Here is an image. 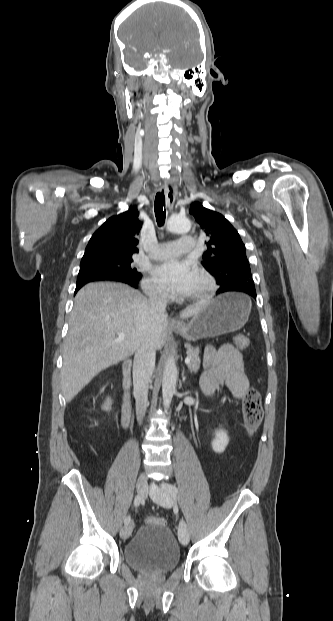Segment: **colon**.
Instances as JSON below:
<instances>
[{
    "label": "colon",
    "mask_w": 333,
    "mask_h": 621,
    "mask_svg": "<svg viewBox=\"0 0 333 621\" xmlns=\"http://www.w3.org/2000/svg\"><path fill=\"white\" fill-rule=\"evenodd\" d=\"M248 344L249 342L246 337L240 336L236 339V345L239 349L247 348ZM242 409L246 429L248 432L252 433L258 428L263 417L261 395L258 390L255 388L247 390L243 397ZM145 523L165 525L166 521L163 518L150 516L146 517Z\"/></svg>",
    "instance_id": "colon-1"
}]
</instances>
